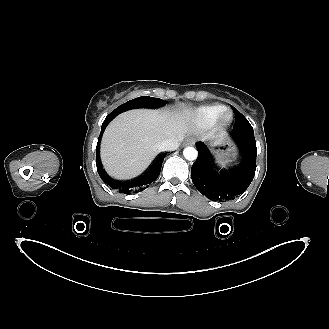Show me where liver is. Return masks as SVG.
<instances>
[{
	"mask_svg": "<svg viewBox=\"0 0 329 329\" xmlns=\"http://www.w3.org/2000/svg\"><path fill=\"white\" fill-rule=\"evenodd\" d=\"M191 114L163 110H132L117 116L106 128L101 143V159L108 174L116 179H130L144 171L161 151L167 139L182 141L189 129ZM223 137L207 134L203 137Z\"/></svg>",
	"mask_w": 329,
	"mask_h": 329,
	"instance_id": "obj_1",
	"label": "liver"
}]
</instances>
